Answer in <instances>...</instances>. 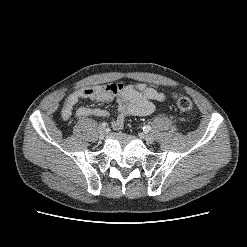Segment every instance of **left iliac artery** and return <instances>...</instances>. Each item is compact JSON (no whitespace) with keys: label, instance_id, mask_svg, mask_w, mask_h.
<instances>
[{"label":"left iliac artery","instance_id":"1","mask_svg":"<svg viewBox=\"0 0 247 247\" xmlns=\"http://www.w3.org/2000/svg\"><path fill=\"white\" fill-rule=\"evenodd\" d=\"M143 130H144L145 132H148V131L151 130V127H150L149 125H145V126L143 127Z\"/></svg>","mask_w":247,"mask_h":247}]
</instances>
